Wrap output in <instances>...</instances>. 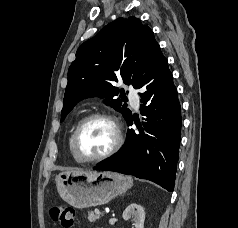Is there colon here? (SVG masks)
Masks as SVG:
<instances>
[{
  "instance_id": "colon-1",
  "label": "colon",
  "mask_w": 238,
  "mask_h": 228,
  "mask_svg": "<svg viewBox=\"0 0 238 228\" xmlns=\"http://www.w3.org/2000/svg\"><path fill=\"white\" fill-rule=\"evenodd\" d=\"M50 216L62 228H71L74 224L75 210L66 205L55 206L50 209Z\"/></svg>"
}]
</instances>
